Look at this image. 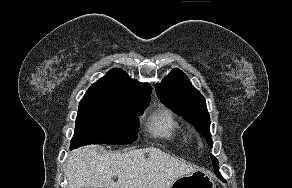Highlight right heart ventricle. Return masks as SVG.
I'll list each match as a JSON object with an SVG mask.
<instances>
[{"instance_id":"1","label":"right heart ventricle","mask_w":292,"mask_h":188,"mask_svg":"<svg viewBox=\"0 0 292 188\" xmlns=\"http://www.w3.org/2000/svg\"><path fill=\"white\" fill-rule=\"evenodd\" d=\"M149 126L152 133L157 136L172 141L180 140L184 144H188L190 141V137L168 111L155 113L150 119Z\"/></svg>"}]
</instances>
